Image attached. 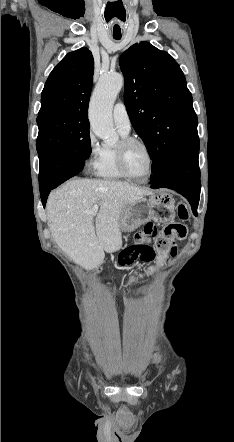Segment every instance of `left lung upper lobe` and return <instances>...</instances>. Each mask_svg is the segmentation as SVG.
Returning <instances> with one entry per match:
<instances>
[{
	"label": "left lung upper lobe",
	"mask_w": 234,
	"mask_h": 442,
	"mask_svg": "<svg viewBox=\"0 0 234 442\" xmlns=\"http://www.w3.org/2000/svg\"><path fill=\"white\" fill-rule=\"evenodd\" d=\"M119 63L125 77V106L150 154L155 179L180 147L198 136L192 95L178 63L148 42L131 46Z\"/></svg>",
	"instance_id": "1"
}]
</instances>
